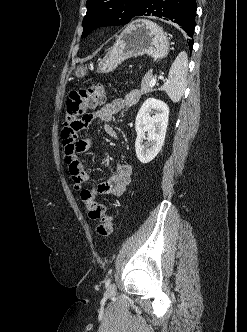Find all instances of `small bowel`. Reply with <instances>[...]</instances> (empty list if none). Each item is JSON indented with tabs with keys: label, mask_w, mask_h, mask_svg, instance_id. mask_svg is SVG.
Masks as SVG:
<instances>
[{
	"label": "small bowel",
	"mask_w": 247,
	"mask_h": 332,
	"mask_svg": "<svg viewBox=\"0 0 247 332\" xmlns=\"http://www.w3.org/2000/svg\"><path fill=\"white\" fill-rule=\"evenodd\" d=\"M139 100L138 90H131L123 97L117 98L93 113L86 115V124L93 120H99L105 123L104 131L111 138L118 137L116 130L110 124L114 116L119 112L129 109L136 105ZM91 145L89 139H77L73 134L68 139H64V159L68 166L69 173L73 180L74 188L78 191L84 190L85 184L89 180V174L78 154L86 152ZM132 167L129 164L117 163L115 173L110 180L98 184L95 188L89 189L94 196L110 195L120 197L126 187L131 182Z\"/></svg>",
	"instance_id": "obj_1"
}]
</instances>
